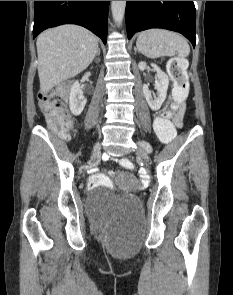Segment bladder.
I'll use <instances>...</instances> for the list:
<instances>
[{
	"instance_id": "1",
	"label": "bladder",
	"mask_w": 233,
	"mask_h": 295,
	"mask_svg": "<svg viewBox=\"0 0 233 295\" xmlns=\"http://www.w3.org/2000/svg\"><path fill=\"white\" fill-rule=\"evenodd\" d=\"M86 207L89 213L95 218L118 215L120 213L141 212V205L138 198L132 195H112L105 197L92 193L86 201Z\"/></svg>"
}]
</instances>
